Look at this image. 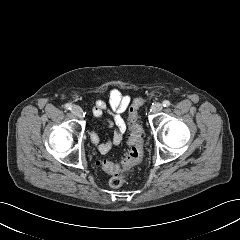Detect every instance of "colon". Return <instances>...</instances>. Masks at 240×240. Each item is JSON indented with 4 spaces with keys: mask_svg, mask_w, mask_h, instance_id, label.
<instances>
[{
    "mask_svg": "<svg viewBox=\"0 0 240 240\" xmlns=\"http://www.w3.org/2000/svg\"><path fill=\"white\" fill-rule=\"evenodd\" d=\"M145 103L144 98H136L129 107L128 147L121 157V164L102 160L104 171L111 175L109 184L112 188H120L125 182V172L138 164L143 156V130L138 124V110Z\"/></svg>",
    "mask_w": 240,
    "mask_h": 240,
    "instance_id": "obj_1",
    "label": "colon"
}]
</instances>
